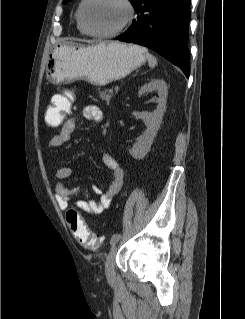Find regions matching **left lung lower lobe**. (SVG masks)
<instances>
[{
    "instance_id": "1",
    "label": "left lung lower lobe",
    "mask_w": 245,
    "mask_h": 319,
    "mask_svg": "<svg viewBox=\"0 0 245 319\" xmlns=\"http://www.w3.org/2000/svg\"><path fill=\"white\" fill-rule=\"evenodd\" d=\"M134 9L137 20L116 39L156 51L189 77L190 0H138Z\"/></svg>"
}]
</instances>
